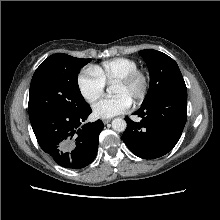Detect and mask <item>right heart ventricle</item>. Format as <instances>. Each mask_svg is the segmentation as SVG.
Masks as SVG:
<instances>
[{
    "instance_id": "obj_1",
    "label": "right heart ventricle",
    "mask_w": 220,
    "mask_h": 220,
    "mask_svg": "<svg viewBox=\"0 0 220 220\" xmlns=\"http://www.w3.org/2000/svg\"><path fill=\"white\" fill-rule=\"evenodd\" d=\"M136 69H138L137 62L125 57L113 58L93 66V70L105 84H114Z\"/></svg>"
}]
</instances>
